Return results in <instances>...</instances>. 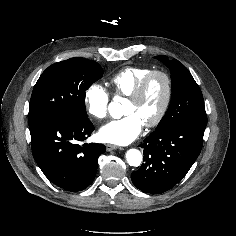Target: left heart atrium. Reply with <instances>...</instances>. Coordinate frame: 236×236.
I'll list each match as a JSON object with an SVG mask.
<instances>
[{"mask_svg": "<svg viewBox=\"0 0 236 236\" xmlns=\"http://www.w3.org/2000/svg\"><path fill=\"white\" fill-rule=\"evenodd\" d=\"M143 125V121L137 114H128L102 126L99 130V138L107 143L127 145L140 135Z\"/></svg>", "mask_w": 236, "mask_h": 236, "instance_id": "obj_1", "label": "left heart atrium"}]
</instances>
